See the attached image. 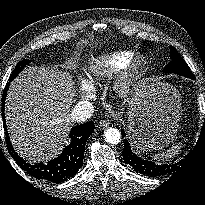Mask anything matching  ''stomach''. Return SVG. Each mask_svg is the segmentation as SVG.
I'll return each mask as SVG.
<instances>
[{"label":"stomach","instance_id":"obj_1","mask_svg":"<svg viewBox=\"0 0 205 205\" xmlns=\"http://www.w3.org/2000/svg\"><path fill=\"white\" fill-rule=\"evenodd\" d=\"M180 97L166 84L140 83L131 102L128 132L142 150H159L176 137L180 121Z\"/></svg>","mask_w":205,"mask_h":205}]
</instances>
